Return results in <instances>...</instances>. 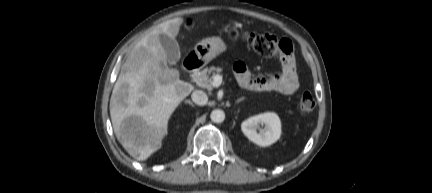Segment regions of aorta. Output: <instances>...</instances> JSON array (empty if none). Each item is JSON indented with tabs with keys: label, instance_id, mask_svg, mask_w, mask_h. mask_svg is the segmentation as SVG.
Wrapping results in <instances>:
<instances>
[{
	"label": "aorta",
	"instance_id": "1",
	"mask_svg": "<svg viewBox=\"0 0 432 193\" xmlns=\"http://www.w3.org/2000/svg\"><path fill=\"white\" fill-rule=\"evenodd\" d=\"M210 118L214 123H221L225 119V113L223 110L215 109L211 112Z\"/></svg>",
	"mask_w": 432,
	"mask_h": 193
}]
</instances>
